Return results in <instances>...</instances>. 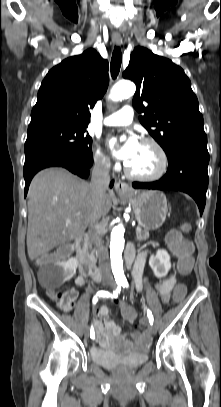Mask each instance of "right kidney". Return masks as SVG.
Returning <instances> with one entry per match:
<instances>
[{"label": "right kidney", "mask_w": 221, "mask_h": 407, "mask_svg": "<svg viewBox=\"0 0 221 407\" xmlns=\"http://www.w3.org/2000/svg\"><path fill=\"white\" fill-rule=\"evenodd\" d=\"M78 266L77 258H70L65 262L56 264L55 272L61 283L70 280L75 274Z\"/></svg>", "instance_id": "right-kidney-1"}]
</instances>
